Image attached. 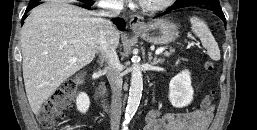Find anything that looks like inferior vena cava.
Segmentation results:
<instances>
[{
  "label": "inferior vena cava",
  "mask_w": 257,
  "mask_h": 130,
  "mask_svg": "<svg viewBox=\"0 0 257 130\" xmlns=\"http://www.w3.org/2000/svg\"><path fill=\"white\" fill-rule=\"evenodd\" d=\"M123 8L121 0H111L108 11L101 15L113 18L119 16ZM116 27L110 20L102 19V25L99 32L98 51L101 58L106 61L107 78L112 90L111 99V130H119L121 118V91H122V74L121 64L116 53Z\"/></svg>",
  "instance_id": "inferior-vena-cava-1"
}]
</instances>
